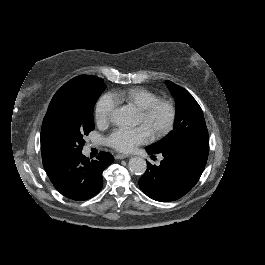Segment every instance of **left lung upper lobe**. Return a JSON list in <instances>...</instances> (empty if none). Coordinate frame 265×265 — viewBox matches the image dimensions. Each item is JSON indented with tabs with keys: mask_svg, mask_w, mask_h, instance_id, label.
Instances as JSON below:
<instances>
[{
	"mask_svg": "<svg viewBox=\"0 0 265 265\" xmlns=\"http://www.w3.org/2000/svg\"><path fill=\"white\" fill-rule=\"evenodd\" d=\"M176 101V116L173 130L162 140L146 147L158 154L188 144L209 145V136L202 109L193 96L184 88L166 81Z\"/></svg>",
	"mask_w": 265,
	"mask_h": 265,
	"instance_id": "left-lung-upper-lobe-1",
	"label": "left lung upper lobe"
}]
</instances>
